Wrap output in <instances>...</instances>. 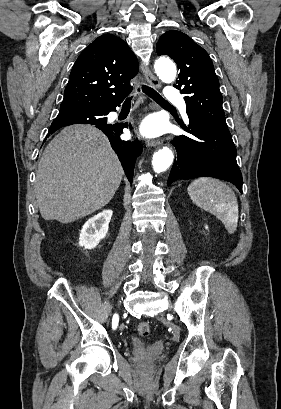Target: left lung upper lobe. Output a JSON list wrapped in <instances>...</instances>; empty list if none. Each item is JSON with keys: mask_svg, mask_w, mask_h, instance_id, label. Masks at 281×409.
Masks as SVG:
<instances>
[{"mask_svg": "<svg viewBox=\"0 0 281 409\" xmlns=\"http://www.w3.org/2000/svg\"><path fill=\"white\" fill-rule=\"evenodd\" d=\"M156 50L158 55L170 56L180 69L178 85L174 87L185 94L187 114L227 127L219 81L208 53L176 30L164 33Z\"/></svg>", "mask_w": 281, "mask_h": 409, "instance_id": "1", "label": "left lung upper lobe"}]
</instances>
